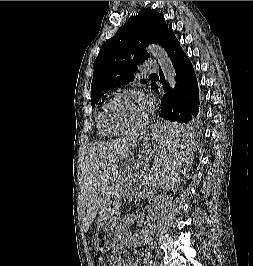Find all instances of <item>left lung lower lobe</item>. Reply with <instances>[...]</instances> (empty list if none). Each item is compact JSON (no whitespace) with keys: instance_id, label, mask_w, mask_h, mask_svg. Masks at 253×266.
Returning <instances> with one entry per match:
<instances>
[{"instance_id":"obj_1","label":"left lung lower lobe","mask_w":253,"mask_h":266,"mask_svg":"<svg viewBox=\"0 0 253 266\" xmlns=\"http://www.w3.org/2000/svg\"><path fill=\"white\" fill-rule=\"evenodd\" d=\"M164 49L167 52L177 76V84L172 89L166 83L162 70L159 71L160 83L163 84L165 94L161 99V114L163 122L172 123V128L167 135L178 140L187 138L190 123L195 122L199 111V91L196 75L187 55L180 47L179 41L173 32L168 37ZM152 89L158 92V86L154 83Z\"/></svg>"}]
</instances>
